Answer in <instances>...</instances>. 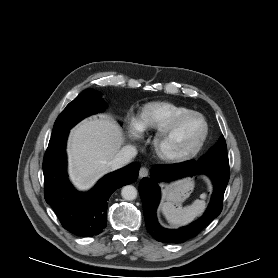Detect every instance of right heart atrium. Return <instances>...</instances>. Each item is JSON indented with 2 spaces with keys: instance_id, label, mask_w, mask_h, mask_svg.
Here are the masks:
<instances>
[{
  "instance_id": "d8ad5b80",
  "label": "right heart atrium",
  "mask_w": 278,
  "mask_h": 278,
  "mask_svg": "<svg viewBox=\"0 0 278 278\" xmlns=\"http://www.w3.org/2000/svg\"><path fill=\"white\" fill-rule=\"evenodd\" d=\"M129 130H130V134L137 138L139 137L140 135V129H139V126L137 124V121L136 120H132L129 124Z\"/></svg>"
}]
</instances>
